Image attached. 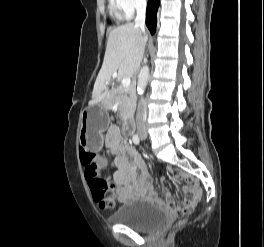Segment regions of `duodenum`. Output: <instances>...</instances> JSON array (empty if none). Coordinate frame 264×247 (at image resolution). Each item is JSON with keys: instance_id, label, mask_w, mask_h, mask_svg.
Returning <instances> with one entry per match:
<instances>
[{"instance_id": "obj_1", "label": "duodenum", "mask_w": 264, "mask_h": 247, "mask_svg": "<svg viewBox=\"0 0 264 247\" xmlns=\"http://www.w3.org/2000/svg\"><path fill=\"white\" fill-rule=\"evenodd\" d=\"M106 104H108V102L106 101ZM125 125L127 127V129L131 132L134 128V120L131 116H129L126 121H125Z\"/></svg>"}]
</instances>
